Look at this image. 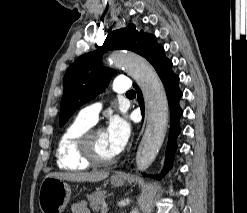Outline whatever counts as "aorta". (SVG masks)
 <instances>
[{"mask_svg": "<svg viewBox=\"0 0 247 213\" xmlns=\"http://www.w3.org/2000/svg\"><path fill=\"white\" fill-rule=\"evenodd\" d=\"M109 61L124 68L139 85L147 108V124L136 153V167L145 171L156 158L166 135L169 112L166 92L152 65L129 51L113 52ZM130 213H138L136 208Z\"/></svg>", "mask_w": 247, "mask_h": 213, "instance_id": "aorta-1", "label": "aorta"}]
</instances>
